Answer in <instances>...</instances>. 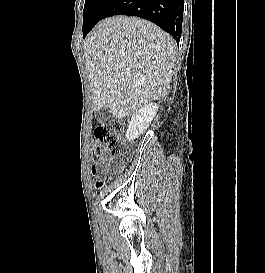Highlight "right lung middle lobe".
Instances as JSON below:
<instances>
[{"instance_id":"right-lung-middle-lobe-1","label":"right lung middle lobe","mask_w":265,"mask_h":273,"mask_svg":"<svg viewBox=\"0 0 265 273\" xmlns=\"http://www.w3.org/2000/svg\"><path fill=\"white\" fill-rule=\"evenodd\" d=\"M114 0H85L83 11V34L90 31L101 19Z\"/></svg>"}]
</instances>
